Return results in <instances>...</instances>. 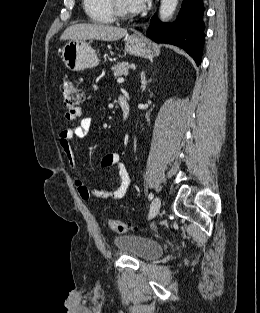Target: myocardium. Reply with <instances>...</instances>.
<instances>
[{"instance_id":"obj_1","label":"myocardium","mask_w":260,"mask_h":313,"mask_svg":"<svg viewBox=\"0 0 260 313\" xmlns=\"http://www.w3.org/2000/svg\"><path fill=\"white\" fill-rule=\"evenodd\" d=\"M112 16L116 19L127 20L133 17L132 13L123 12L117 5L116 0H107Z\"/></svg>"}]
</instances>
